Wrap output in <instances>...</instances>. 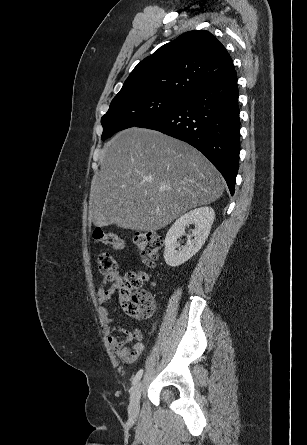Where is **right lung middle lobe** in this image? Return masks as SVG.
I'll return each mask as SVG.
<instances>
[{"instance_id":"right-lung-middle-lobe-1","label":"right lung middle lobe","mask_w":307,"mask_h":445,"mask_svg":"<svg viewBox=\"0 0 307 445\" xmlns=\"http://www.w3.org/2000/svg\"><path fill=\"white\" fill-rule=\"evenodd\" d=\"M185 97L162 94L116 95L101 118L102 140L114 133L152 120L176 107Z\"/></svg>"}]
</instances>
